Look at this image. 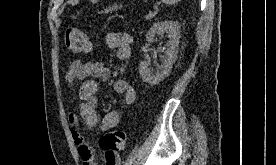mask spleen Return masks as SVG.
Masks as SVG:
<instances>
[{
    "instance_id": "spleen-1",
    "label": "spleen",
    "mask_w": 276,
    "mask_h": 165,
    "mask_svg": "<svg viewBox=\"0 0 276 165\" xmlns=\"http://www.w3.org/2000/svg\"><path fill=\"white\" fill-rule=\"evenodd\" d=\"M179 0H162L163 3L165 4H174L176 2H178Z\"/></svg>"
}]
</instances>
